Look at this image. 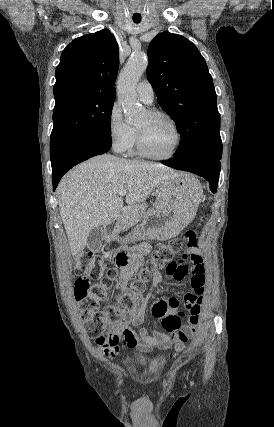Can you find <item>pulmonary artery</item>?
Instances as JSON below:
<instances>
[{
    "label": "pulmonary artery",
    "instance_id": "pulmonary-artery-1",
    "mask_svg": "<svg viewBox=\"0 0 274 427\" xmlns=\"http://www.w3.org/2000/svg\"><path fill=\"white\" fill-rule=\"evenodd\" d=\"M137 95L142 102L151 105L153 103L154 91L148 80H142L137 85Z\"/></svg>",
    "mask_w": 274,
    "mask_h": 427
}]
</instances>
